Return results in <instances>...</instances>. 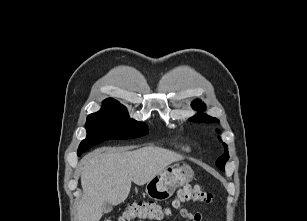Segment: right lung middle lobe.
I'll use <instances>...</instances> for the list:
<instances>
[{
  "label": "right lung middle lobe",
  "instance_id": "obj_1",
  "mask_svg": "<svg viewBox=\"0 0 307 221\" xmlns=\"http://www.w3.org/2000/svg\"><path fill=\"white\" fill-rule=\"evenodd\" d=\"M87 137L80 143L78 156L90 147L111 139H132L144 136L147 126L129 117L121 104H103L86 121Z\"/></svg>",
  "mask_w": 307,
  "mask_h": 221
}]
</instances>
